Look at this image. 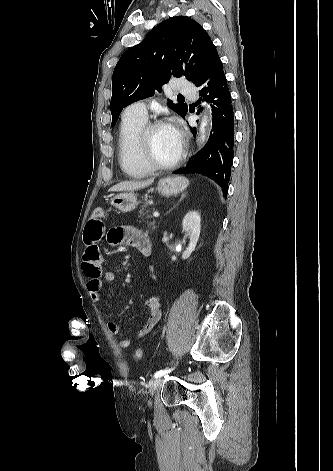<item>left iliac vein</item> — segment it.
<instances>
[{
	"mask_svg": "<svg viewBox=\"0 0 333 471\" xmlns=\"http://www.w3.org/2000/svg\"><path fill=\"white\" fill-rule=\"evenodd\" d=\"M160 377L159 378H155L154 380H152L149 384V393H150V396H154L156 390L158 389L159 385H160ZM151 399L149 400V404L151 405Z\"/></svg>",
	"mask_w": 333,
	"mask_h": 471,
	"instance_id": "left-iliac-vein-1",
	"label": "left iliac vein"
}]
</instances>
